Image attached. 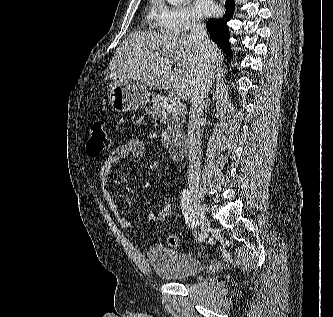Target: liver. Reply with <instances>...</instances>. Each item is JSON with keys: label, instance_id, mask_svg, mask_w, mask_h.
Wrapping results in <instances>:
<instances>
[{"label": "liver", "instance_id": "6515ba94", "mask_svg": "<svg viewBox=\"0 0 333 317\" xmlns=\"http://www.w3.org/2000/svg\"><path fill=\"white\" fill-rule=\"evenodd\" d=\"M209 48L216 68L221 53L212 41ZM206 58L207 54L191 34L136 31L117 48L107 77L132 78L152 89H166L188 101L197 77L204 70Z\"/></svg>", "mask_w": 333, "mask_h": 317}]
</instances>
